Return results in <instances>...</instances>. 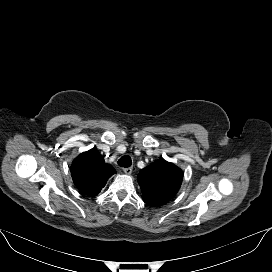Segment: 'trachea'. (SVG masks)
<instances>
[{
    "label": "trachea",
    "instance_id": "obj_1",
    "mask_svg": "<svg viewBox=\"0 0 272 272\" xmlns=\"http://www.w3.org/2000/svg\"><path fill=\"white\" fill-rule=\"evenodd\" d=\"M131 164H132V160H131V157L128 155H124L118 160V165L120 167L128 168L131 166Z\"/></svg>",
    "mask_w": 272,
    "mask_h": 272
}]
</instances>
